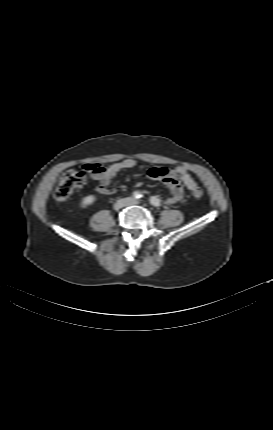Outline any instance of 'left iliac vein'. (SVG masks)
<instances>
[{
	"label": "left iliac vein",
	"mask_w": 273,
	"mask_h": 430,
	"mask_svg": "<svg viewBox=\"0 0 273 430\" xmlns=\"http://www.w3.org/2000/svg\"><path fill=\"white\" fill-rule=\"evenodd\" d=\"M137 204H139L138 200H135V199H132V198L128 199L127 205H137Z\"/></svg>",
	"instance_id": "obj_1"
}]
</instances>
